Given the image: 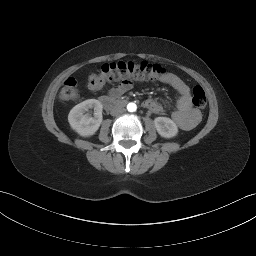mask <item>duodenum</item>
<instances>
[{"label": "duodenum", "instance_id": "obj_1", "mask_svg": "<svg viewBox=\"0 0 256 256\" xmlns=\"http://www.w3.org/2000/svg\"><path fill=\"white\" fill-rule=\"evenodd\" d=\"M101 103L106 110H113V109H119V108L125 107L127 104V101L119 100L109 95H104L101 98Z\"/></svg>", "mask_w": 256, "mask_h": 256}]
</instances>
